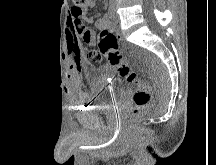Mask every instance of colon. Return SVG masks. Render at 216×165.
Listing matches in <instances>:
<instances>
[{
  "mask_svg": "<svg viewBox=\"0 0 216 165\" xmlns=\"http://www.w3.org/2000/svg\"><path fill=\"white\" fill-rule=\"evenodd\" d=\"M89 1L72 0L74 8L77 10L85 7ZM82 53L86 60L94 63L89 65V71H95L97 68L107 65L116 70L121 78L133 85V108L130 113V118L132 120L139 119L150 105L151 88L129 65L124 55L120 52L118 48V37L105 28L99 34L98 51L85 48Z\"/></svg>",
  "mask_w": 216,
  "mask_h": 165,
  "instance_id": "colon-1",
  "label": "colon"
}]
</instances>
